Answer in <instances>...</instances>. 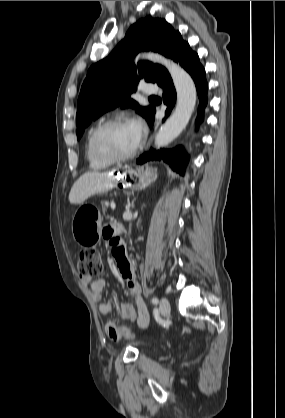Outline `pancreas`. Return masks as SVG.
<instances>
[{
	"label": "pancreas",
	"mask_w": 285,
	"mask_h": 418,
	"mask_svg": "<svg viewBox=\"0 0 285 418\" xmlns=\"http://www.w3.org/2000/svg\"><path fill=\"white\" fill-rule=\"evenodd\" d=\"M109 206V203L107 201L102 202V209L105 211Z\"/></svg>",
	"instance_id": "obj_1"
}]
</instances>
